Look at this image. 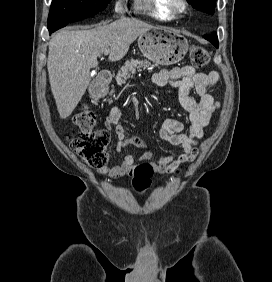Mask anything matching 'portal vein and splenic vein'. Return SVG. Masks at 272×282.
Here are the masks:
<instances>
[{
    "label": "portal vein and splenic vein",
    "instance_id": "obj_1",
    "mask_svg": "<svg viewBox=\"0 0 272 282\" xmlns=\"http://www.w3.org/2000/svg\"><path fill=\"white\" fill-rule=\"evenodd\" d=\"M109 52H110V50H109V49H106V50L104 51V55H108Z\"/></svg>",
    "mask_w": 272,
    "mask_h": 282
}]
</instances>
